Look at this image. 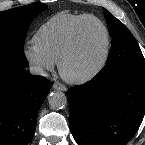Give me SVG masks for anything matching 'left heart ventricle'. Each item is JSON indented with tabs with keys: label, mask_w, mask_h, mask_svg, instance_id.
Returning <instances> with one entry per match:
<instances>
[{
	"label": "left heart ventricle",
	"mask_w": 145,
	"mask_h": 145,
	"mask_svg": "<svg viewBox=\"0 0 145 145\" xmlns=\"http://www.w3.org/2000/svg\"><path fill=\"white\" fill-rule=\"evenodd\" d=\"M105 49V34L102 27L87 22L80 34L78 49L67 65L70 74L78 75L92 69L102 58Z\"/></svg>",
	"instance_id": "left-heart-ventricle-1"
}]
</instances>
